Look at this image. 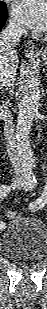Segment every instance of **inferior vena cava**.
<instances>
[{"label":"inferior vena cava","instance_id":"obj_1","mask_svg":"<svg viewBox=\"0 0 47 309\" xmlns=\"http://www.w3.org/2000/svg\"><path fill=\"white\" fill-rule=\"evenodd\" d=\"M25 32L26 30L18 23L10 21L0 34V86L1 89H8L10 94L13 93L16 82V71L11 67L10 62L17 57L14 47L20 42V38ZM1 116L5 121L7 150L11 161L16 162L18 160V153L13 135V117L7 104H3Z\"/></svg>","mask_w":47,"mask_h":309}]
</instances>
